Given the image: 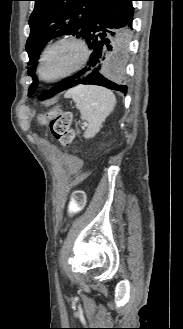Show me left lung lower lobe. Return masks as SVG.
I'll return each mask as SVG.
<instances>
[{"label":"left lung lower lobe","mask_w":183,"mask_h":329,"mask_svg":"<svg viewBox=\"0 0 183 329\" xmlns=\"http://www.w3.org/2000/svg\"><path fill=\"white\" fill-rule=\"evenodd\" d=\"M136 0H111L103 6L90 23L84 36L91 50L87 66L71 77L59 82L52 89L41 95L39 99H47L61 91L80 84H93L112 90L127 93V86L104 77L99 70L106 56L112 51L110 29L125 25L132 26L134 8L132 2Z\"/></svg>","instance_id":"1"}]
</instances>
